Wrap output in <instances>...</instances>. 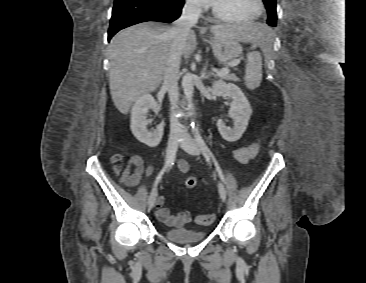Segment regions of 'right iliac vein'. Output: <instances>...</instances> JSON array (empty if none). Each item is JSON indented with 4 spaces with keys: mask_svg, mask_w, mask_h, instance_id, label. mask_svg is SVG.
<instances>
[{
    "mask_svg": "<svg viewBox=\"0 0 366 283\" xmlns=\"http://www.w3.org/2000/svg\"><path fill=\"white\" fill-rule=\"evenodd\" d=\"M177 145H178V137L171 136L168 140L167 149H166V162L172 155L175 154ZM156 198H157V189L154 188L148 198V206L150 209H152L154 207Z\"/></svg>",
    "mask_w": 366,
    "mask_h": 283,
    "instance_id": "63e3f726",
    "label": "right iliac vein"
}]
</instances>
